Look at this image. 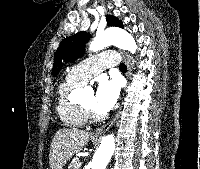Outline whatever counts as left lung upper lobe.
<instances>
[{
	"label": "left lung upper lobe",
	"mask_w": 200,
	"mask_h": 169,
	"mask_svg": "<svg viewBox=\"0 0 200 169\" xmlns=\"http://www.w3.org/2000/svg\"><path fill=\"white\" fill-rule=\"evenodd\" d=\"M106 18H107V24L109 26H116L123 28L122 22L118 20L116 17L107 15ZM89 38L90 35L83 31L64 39L60 43L54 55V65L52 69V74L54 76H56L61 70L62 60L72 62L80 58L84 54L85 43L88 41Z\"/></svg>",
	"instance_id": "1"
}]
</instances>
